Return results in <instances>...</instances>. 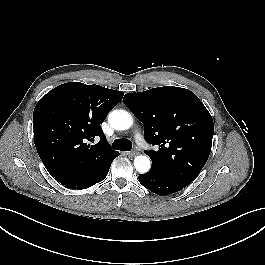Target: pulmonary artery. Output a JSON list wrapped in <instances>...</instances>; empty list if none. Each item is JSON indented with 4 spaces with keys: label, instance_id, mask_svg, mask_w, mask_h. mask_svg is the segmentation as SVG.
Listing matches in <instances>:
<instances>
[{
    "label": "pulmonary artery",
    "instance_id": "pulmonary-artery-1",
    "mask_svg": "<svg viewBox=\"0 0 265 265\" xmlns=\"http://www.w3.org/2000/svg\"><path fill=\"white\" fill-rule=\"evenodd\" d=\"M135 140L137 141V143L140 145V146H143V139H142V137H141V135L140 134H135Z\"/></svg>",
    "mask_w": 265,
    "mask_h": 265
}]
</instances>
